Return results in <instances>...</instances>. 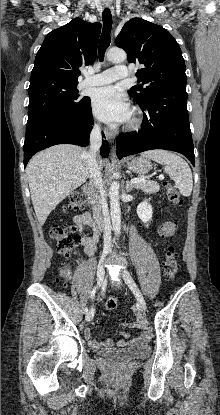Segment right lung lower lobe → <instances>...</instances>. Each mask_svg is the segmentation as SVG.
<instances>
[{"mask_svg":"<svg viewBox=\"0 0 220 415\" xmlns=\"http://www.w3.org/2000/svg\"><path fill=\"white\" fill-rule=\"evenodd\" d=\"M93 125L90 99L85 109L74 117L57 111L27 123L24 142V167L40 150L56 144L87 146ZM103 137L104 134H103ZM101 156L108 157L109 144L103 140Z\"/></svg>","mask_w":220,"mask_h":415,"instance_id":"1","label":"right lung lower lobe"}]
</instances>
